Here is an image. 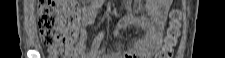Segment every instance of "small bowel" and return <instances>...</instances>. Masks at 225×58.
<instances>
[{
	"label": "small bowel",
	"mask_w": 225,
	"mask_h": 58,
	"mask_svg": "<svg viewBox=\"0 0 225 58\" xmlns=\"http://www.w3.org/2000/svg\"><path fill=\"white\" fill-rule=\"evenodd\" d=\"M103 4L104 0H93L83 7L82 27L76 44V52L79 58H150L159 51L162 30L170 6L169 0L148 2L145 7L148 13L147 18L127 15L120 19L113 31L115 37L119 36L121 30L134 24L144 28V33L132 47L120 45L116 51L105 47V31L98 33L90 47L87 48V28L96 23L98 11ZM127 6H130V3H127Z\"/></svg>",
	"instance_id": "small-bowel-1"
}]
</instances>
